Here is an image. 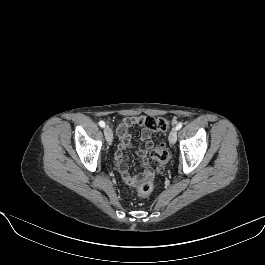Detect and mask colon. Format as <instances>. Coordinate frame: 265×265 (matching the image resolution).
Wrapping results in <instances>:
<instances>
[{"label":"colon","mask_w":265,"mask_h":265,"mask_svg":"<svg viewBox=\"0 0 265 265\" xmlns=\"http://www.w3.org/2000/svg\"><path fill=\"white\" fill-rule=\"evenodd\" d=\"M142 124L149 130L155 132H165L169 128L167 120L163 117H145ZM170 158V153L165 142H160L149 151L148 159L152 163L163 164ZM150 172L146 173V177L142 179L138 185L141 195H148L152 190V183L148 179Z\"/></svg>","instance_id":"1"}]
</instances>
